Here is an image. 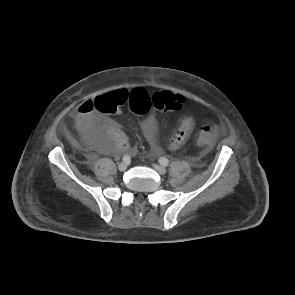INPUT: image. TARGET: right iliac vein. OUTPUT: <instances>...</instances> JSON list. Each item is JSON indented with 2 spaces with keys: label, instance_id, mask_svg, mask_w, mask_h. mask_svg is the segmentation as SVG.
<instances>
[{
  "label": "right iliac vein",
  "instance_id": "1",
  "mask_svg": "<svg viewBox=\"0 0 295 295\" xmlns=\"http://www.w3.org/2000/svg\"><path fill=\"white\" fill-rule=\"evenodd\" d=\"M118 169L119 171H122V172L125 171L127 169V163L125 162L120 163L118 166Z\"/></svg>",
  "mask_w": 295,
  "mask_h": 295
}]
</instances>
